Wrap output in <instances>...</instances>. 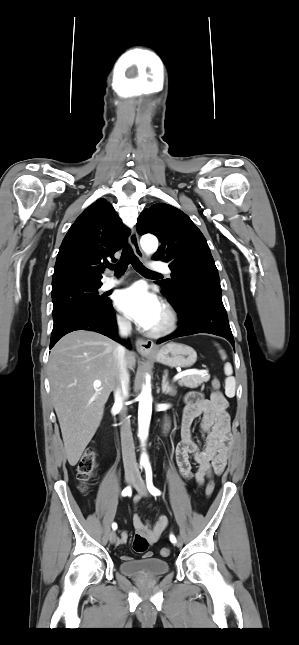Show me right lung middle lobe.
I'll list each match as a JSON object with an SVG mask.
<instances>
[{
	"instance_id": "1",
	"label": "right lung middle lobe",
	"mask_w": 299,
	"mask_h": 645,
	"mask_svg": "<svg viewBox=\"0 0 299 645\" xmlns=\"http://www.w3.org/2000/svg\"><path fill=\"white\" fill-rule=\"evenodd\" d=\"M101 285L74 284L52 292L54 325L75 313L107 306L110 300L97 292Z\"/></svg>"
}]
</instances>
